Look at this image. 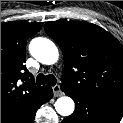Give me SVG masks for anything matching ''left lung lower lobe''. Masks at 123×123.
I'll return each instance as SVG.
<instances>
[{
	"label": "left lung lower lobe",
	"instance_id": "0a47b994",
	"mask_svg": "<svg viewBox=\"0 0 123 123\" xmlns=\"http://www.w3.org/2000/svg\"><path fill=\"white\" fill-rule=\"evenodd\" d=\"M61 90L70 96L76 105L73 114L62 123H119L123 116V107L71 92L63 86Z\"/></svg>",
	"mask_w": 123,
	"mask_h": 123
}]
</instances>
